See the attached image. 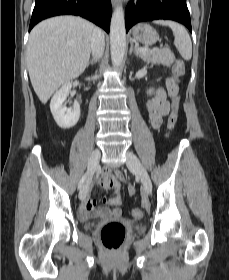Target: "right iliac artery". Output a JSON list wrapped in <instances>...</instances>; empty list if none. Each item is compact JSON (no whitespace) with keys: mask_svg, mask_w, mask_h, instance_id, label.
I'll return each mask as SVG.
<instances>
[{"mask_svg":"<svg viewBox=\"0 0 229 280\" xmlns=\"http://www.w3.org/2000/svg\"><path fill=\"white\" fill-rule=\"evenodd\" d=\"M87 175H88V172L85 173V174L82 176V178L80 179V181H79V183H78V189H81V187H82L84 181H85L86 178H87Z\"/></svg>","mask_w":229,"mask_h":280,"instance_id":"obj_1","label":"right iliac artery"}]
</instances>
